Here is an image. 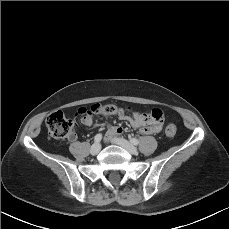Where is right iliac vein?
<instances>
[{
    "instance_id": "63e3f726",
    "label": "right iliac vein",
    "mask_w": 229,
    "mask_h": 229,
    "mask_svg": "<svg viewBox=\"0 0 229 229\" xmlns=\"http://www.w3.org/2000/svg\"><path fill=\"white\" fill-rule=\"evenodd\" d=\"M101 150V145L99 143H94L90 149L92 155H97Z\"/></svg>"
}]
</instances>
